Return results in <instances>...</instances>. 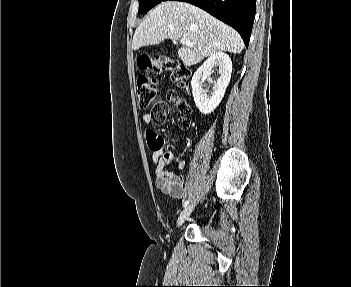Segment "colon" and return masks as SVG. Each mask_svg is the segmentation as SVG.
<instances>
[{
	"instance_id": "1",
	"label": "colon",
	"mask_w": 351,
	"mask_h": 287,
	"mask_svg": "<svg viewBox=\"0 0 351 287\" xmlns=\"http://www.w3.org/2000/svg\"><path fill=\"white\" fill-rule=\"evenodd\" d=\"M139 67L146 72L139 76L136 85L140 108L146 109L153 105V120L155 123L160 124L164 121L169 111V105L166 101L158 99L157 80L154 75L167 72L172 82L183 85L189 79L190 71L177 61L163 55H156L153 58L143 56L139 60ZM168 100L180 114V127L188 128L191 124V108L189 104L174 92L168 94Z\"/></svg>"
}]
</instances>
